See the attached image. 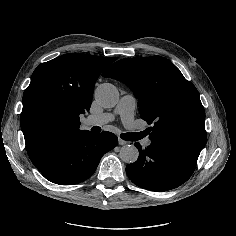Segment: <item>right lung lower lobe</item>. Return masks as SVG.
Returning <instances> with one entry per match:
<instances>
[{"label": "right lung lower lobe", "instance_id": "1", "mask_svg": "<svg viewBox=\"0 0 236 236\" xmlns=\"http://www.w3.org/2000/svg\"><path fill=\"white\" fill-rule=\"evenodd\" d=\"M118 144L111 132L94 134L84 131L64 143L38 169L49 181L59 185H74L88 179L96 170L101 157Z\"/></svg>", "mask_w": 236, "mask_h": 236}]
</instances>
